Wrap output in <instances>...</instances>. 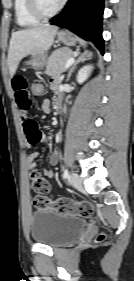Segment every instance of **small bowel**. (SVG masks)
Listing matches in <instances>:
<instances>
[{
    "instance_id": "1",
    "label": "small bowel",
    "mask_w": 134,
    "mask_h": 281,
    "mask_svg": "<svg viewBox=\"0 0 134 281\" xmlns=\"http://www.w3.org/2000/svg\"><path fill=\"white\" fill-rule=\"evenodd\" d=\"M61 79L58 76H54L51 79V87L56 90L59 88ZM11 86L14 91L16 103L20 109V118L23 125L24 133L28 145L33 146L45 141V136L40 131L36 121L30 118L29 111L32 105L31 92H30V81L29 78L22 73L15 74L11 79ZM38 153L33 152L28 155L27 161L28 166L31 170L36 167V160ZM59 161L58 150H54L49 158L51 166H55ZM43 176L47 178H53L54 172L51 169L42 170Z\"/></svg>"
}]
</instances>
